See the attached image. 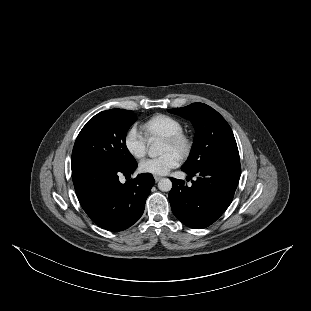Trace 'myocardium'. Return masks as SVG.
Instances as JSON below:
<instances>
[{
	"mask_svg": "<svg viewBox=\"0 0 311 311\" xmlns=\"http://www.w3.org/2000/svg\"><path fill=\"white\" fill-rule=\"evenodd\" d=\"M165 141L174 146L183 159L189 158L195 148L193 135L185 130L165 138Z\"/></svg>",
	"mask_w": 311,
	"mask_h": 311,
	"instance_id": "obj_1",
	"label": "myocardium"
}]
</instances>
